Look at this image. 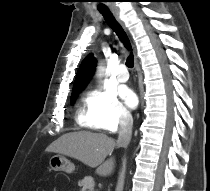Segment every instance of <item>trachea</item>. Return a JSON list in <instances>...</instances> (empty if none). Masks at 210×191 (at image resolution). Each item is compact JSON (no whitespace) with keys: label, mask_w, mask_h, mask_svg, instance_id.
I'll use <instances>...</instances> for the list:
<instances>
[{"label":"trachea","mask_w":210,"mask_h":191,"mask_svg":"<svg viewBox=\"0 0 210 191\" xmlns=\"http://www.w3.org/2000/svg\"><path fill=\"white\" fill-rule=\"evenodd\" d=\"M100 13L104 16L106 22L108 25L113 29V31L119 36L120 40L124 43V45L131 50V45L129 42V39L121 27V25L116 21L115 17L113 14L110 12L108 8H99ZM126 66L129 68H133L134 66V57L131 54L127 61H126Z\"/></svg>","instance_id":"obj_1"}]
</instances>
